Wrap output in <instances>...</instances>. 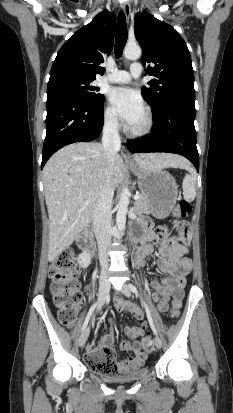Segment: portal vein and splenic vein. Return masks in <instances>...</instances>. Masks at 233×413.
Listing matches in <instances>:
<instances>
[{
  "mask_svg": "<svg viewBox=\"0 0 233 413\" xmlns=\"http://www.w3.org/2000/svg\"><path fill=\"white\" fill-rule=\"evenodd\" d=\"M134 199L135 200H138L139 199V195L138 194H136L135 196H134ZM89 201H86V203H88Z\"/></svg>",
  "mask_w": 233,
  "mask_h": 413,
  "instance_id": "portal-vein-and-splenic-vein-1",
  "label": "portal vein and splenic vein"
}]
</instances>
